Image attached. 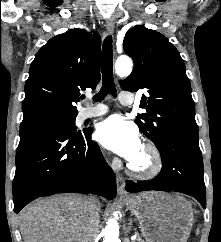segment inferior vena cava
<instances>
[{"label":"inferior vena cava","instance_id":"602c4592","mask_svg":"<svg viewBox=\"0 0 221 242\" xmlns=\"http://www.w3.org/2000/svg\"><path fill=\"white\" fill-rule=\"evenodd\" d=\"M99 204L94 197L84 201L82 212L83 242H94L99 233Z\"/></svg>","mask_w":221,"mask_h":242}]
</instances>
